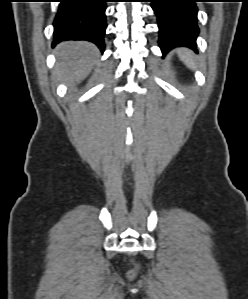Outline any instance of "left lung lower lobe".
<instances>
[{
    "mask_svg": "<svg viewBox=\"0 0 248 299\" xmlns=\"http://www.w3.org/2000/svg\"><path fill=\"white\" fill-rule=\"evenodd\" d=\"M157 15L159 46L163 53L186 46L196 51L198 0H150Z\"/></svg>",
    "mask_w": 248,
    "mask_h": 299,
    "instance_id": "left-lung-lower-lobe-1",
    "label": "left lung lower lobe"
}]
</instances>
